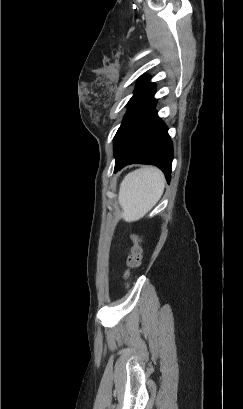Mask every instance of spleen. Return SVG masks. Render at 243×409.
Returning a JSON list of instances; mask_svg holds the SVG:
<instances>
[{
	"label": "spleen",
	"mask_w": 243,
	"mask_h": 409,
	"mask_svg": "<svg viewBox=\"0 0 243 409\" xmlns=\"http://www.w3.org/2000/svg\"><path fill=\"white\" fill-rule=\"evenodd\" d=\"M164 188V175L155 167H143L127 174L118 196L124 220L132 222L145 216L159 201Z\"/></svg>",
	"instance_id": "spleen-1"
}]
</instances>
